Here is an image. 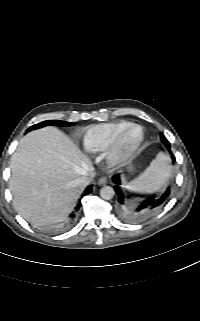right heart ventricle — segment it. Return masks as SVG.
Masks as SVG:
<instances>
[{"mask_svg": "<svg viewBox=\"0 0 200 321\" xmlns=\"http://www.w3.org/2000/svg\"><path fill=\"white\" fill-rule=\"evenodd\" d=\"M131 122L121 120L94 125L87 129L82 138L83 148L91 154L102 153L111 146L118 134Z\"/></svg>", "mask_w": 200, "mask_h": 321, "instance_id": "obj_1", "label": "right heart ventricle"}]
</instances>
